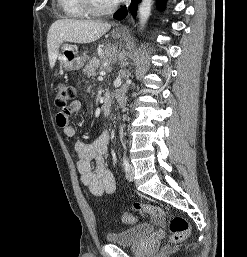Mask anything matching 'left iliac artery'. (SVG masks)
<instances>
[{
	"mask_svg": "<svg viewBox=\"0 0 247 257\" xmlns=\"http://www.w3.org/2000/svg\"><path fill=\"white\" fill-rule=\"evenodd\" d=\"M123 168H124V170L125 171H128V169H129V161H128V159H127V157L124 155L123 156Z\"/></svg>",
	"mask_w": 247,
	"mask_h": 257,
	"instance_id": "obj_1",
	"label": "left iliac artery"
}]
</instances>
